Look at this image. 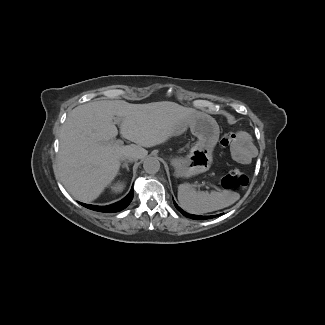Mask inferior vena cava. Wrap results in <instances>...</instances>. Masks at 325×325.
Masks as SVG:
<instances>
[{
	"instance_id": "obj_1",
	"label": "inferior vena cava",
	"mask_w": 325,
	"mask_h": 325,
	"mask_svg": "<svg viewBox=\"0 0 325 325\" xmlns=\"http://www.w3.org/2000/svg\"><path fill=\"white\" fill-rule=\"evenodd\" d=\"M139 158V155L136 152L132 151H126L122 156L121 160L125 162H134L137 161Z\"/></svg>"
}]
</instances>
